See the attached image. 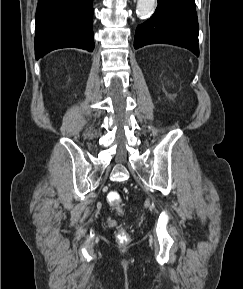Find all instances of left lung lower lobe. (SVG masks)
I'll use <instances>...</instances> for the list:
<instances>
[{
	"mask_svg": "<svg viewBox=\"0 0 243 289\" xmlns=\"http://www.w3.org/2000/svg\"><path fill=\"white\" fill-rule=\"evenodd\" d=\"M155 43L184 47L199 56L195 0H158L155 14L137 27L134 48Z\"/></svg>",
	"mask_w": 243,
	"mask_h": 289,
	"instance_id": "0a47b994",
	"label": "left lung lower lobe"
}]
</instances>
